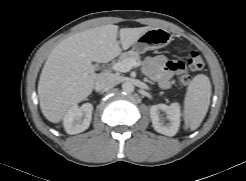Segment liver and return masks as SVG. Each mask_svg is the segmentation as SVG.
<instances>
[{"label": "liver", "instance_id": "obj_1", "mask_svg": "<svg viewBox=\"0 0 246 181\" xmlns=\"http://www.w3.org/2000/svg\"><path fill=\"white\" fill-rule=\"evenodd\" d=\"M149 29L145 26L118 31L117 25L109 24L61 41L49 54L40 74L38 95L44 117L53 123L60 122L73 105L92 93L98 77L92 62H109ZM118 34L120 41H117Z\"/></svg>", "mask_w": 246, "mask_h": 181}]
</instances>
